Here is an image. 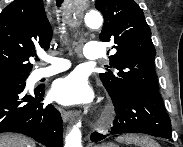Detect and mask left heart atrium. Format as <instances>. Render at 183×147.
I'll list each match as a JSON object with an SVG mask.
<instances>
[{
    "label": "left heart atrium",
    "instance_id": "obj_1",
    "mask_svg": "<svg viewBox=\"0 0 183 147\" xmlns=\"http://www.w3.org/2000/svg\"><path fill=\"white\" fill-rule=\"evenodd\" d=\"M51 94L54 100L63 105L86 103L93 96L88 82L78 73L56 80L52 85Z\"/></svg>",
    "mask_w": 183,
    "mask_h": 147
}]
</instances>
